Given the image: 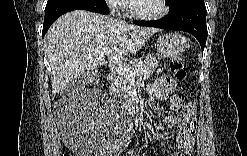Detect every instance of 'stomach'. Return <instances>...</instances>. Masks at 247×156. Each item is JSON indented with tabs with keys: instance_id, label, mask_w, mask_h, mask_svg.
<instances>
[{
	"instance_id": "stomach-1",
	"label": "stomach",
	"mask_w": 247,
	"mask_h": 156,
	"mask_svg": "<svg viewBox=\"0 0 247 156\" xmlns=\"http://www.w3.org/2000/svg\"><path fill=\"white\" fill-rule=\"evenodd\" d=\"M156 47L163 57H176L187 47V39L180 33H166L157 39Z\"/></svg>"
}]
</instances>
